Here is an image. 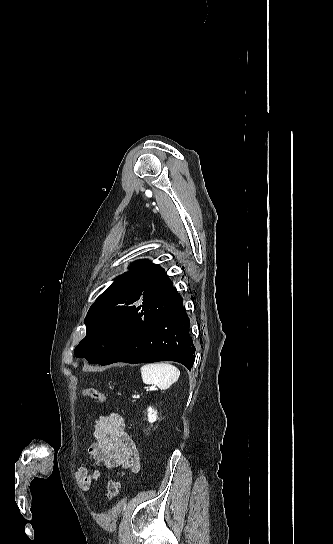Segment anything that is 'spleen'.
<instances>
[{"label":"spleen","instance_id":"spleen-1","mask_svg":"<svg viewBox=\"0 0 333 544\" xmlns=\"http://www.w3.org/2000/svg\"><path fill=\"white\" fill-rule=\"evenodd\" d=\"M143 383L157 385L161 390L168 389L177 382L180 371L167 362L150 363L141 367Z\"/></svg>","mask_w":333,"mask_h":544}]
</instances>
